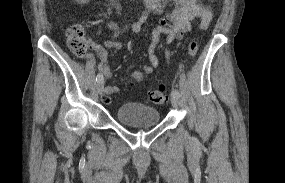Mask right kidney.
Segmentation results:
<instances>
[{
    "label": "right kidney",
    "instance_id": "1",
    "mask_svg": "<svg viewBox=\"0 0 285 183\" xmlns=\"http://www.w3.org/2000/svg\"><path fill=\"white\" fill-rule=\"evenodd\" d=\"M74 1L77 2L78 4H84L88 2L89 0H74Z\"/></svg>",
    "mask_w": 285,
    "mask_h": 183
}]
</instances>
